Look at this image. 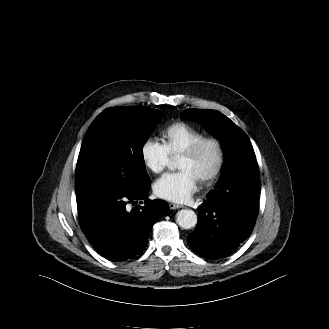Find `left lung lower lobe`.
I'll return each instance as SVG.
<instances>
[{"label": "left lung lower lobe", "instance_id": "1", "mask_svg": "<svg viewBox=\"0 0 329 329\" xmlns=\"http://www.w3.org/2000/svg\"><path fill=\"white\" fill-rule=\"evenodd\" d=\"M258 165L226 187L221 200H205L198 208V222L187 242L206 259H220L237 250L251 234L258 216L260 191Z\"/></svg>", "mask_w": 329, "mask_h": 329}]
</instances>
